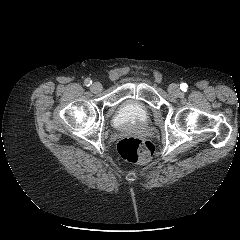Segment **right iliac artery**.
Instances as JSON below:
<instances>
[{"mask_svg":"<svg viewBox=\"0 0 240 240\" xmlns=\"http://www.w3.org/2000/svg\"><path fill=\"white\" fill-rule=\"evenodd\" d=\"M91 84H92V80L89 79V78H87V79L85 80V85H86V86H90Z\"/></svg>","mask_w":240,"mask_h":240,"instance_id":"82829eb1","label":"right iliac artery"}]
</instances>
